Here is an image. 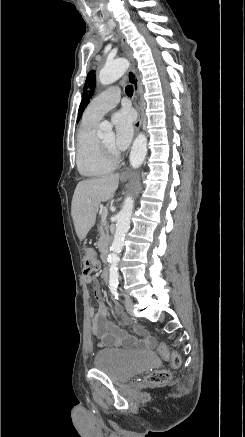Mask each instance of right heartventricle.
Listing matches in <instances>:
<instances>
[{
  "label": "right heart ventricle",
  "mask_w": 245,
  "mask_h": 437,
  "mask_svg": "<svg viewBox=\"0 0 245 437\" xmlns=\"http://www.w3.org/2000/svg\"><path fill=\"white\" fill-rule=\"evenodd\" d=\"M98 120L83 116L76 136V164L85 177L97 178L114 170L115 163L101 153L96 137Z\"/></svg>",
  "instance_id": "obj_1"
}]
</instances>
